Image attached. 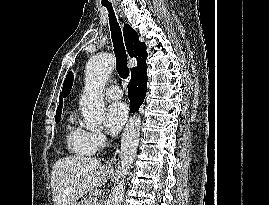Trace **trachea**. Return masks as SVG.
Wrapping results in <instances>:
<instances>
[{"instance_id": "obj_1", "label": "trachea", "mask_w": 269, "mask_h": 205, "mask_svg": "<svg viewBox=\"0 0 269 205\" xmlns=\"http://www.w3.org/2000/svg\"><path fill=\"white\" fill-rule=\"evenodd\" d=\"M105 7L107 8L109 12L111 38H112L114 53L116 57V69L119 76L123 80H127L129 77V70L127 67V55H126V50L123 43L122 32L117 22L112 6L105 5Z\"/></svg>"}]
</instances>
